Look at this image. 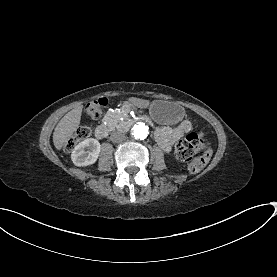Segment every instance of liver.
<instances>
[{
    "label": "liver",
    "mask_w": 277,
    "mask_h": 277,
    "mask_svg": "<svg viewBox=\"0 0 277 277\" xmlns=\"http://www.w3.org/2000/svg\"><path fill=\"white\" fill-rule=\"evenodd\" d=\"M83 106L69 111L57 124L53 133V143L57 150L67 143L73 133L79 128Z\"/></svg>",
    "instance_id": "liver-1"
}]
</instances>
